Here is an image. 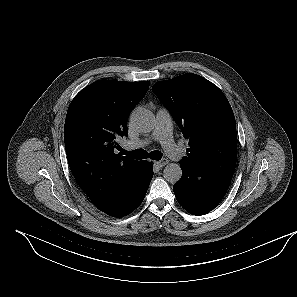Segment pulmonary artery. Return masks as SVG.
<instances>
[{"label": "pulmonary artery", "mask_w": 297, "mask_h": 297, "mask_svg": "<svg viewBox=\"0 0 297 297\" xmlns=\"http://www.w3.org/2000/svg\"><path fill=\"white\" fill-rule=\"evenodd\" d=\"M172 130L173 122L170 113L166 109L160 108L157 111L154 129L150 138L128 140L124 142V146L128 149L138 148L147 145L151 139H154L162 144L163 148L170 156L180 159L183 156V151L174 142Z\"/></svg>", "instance_id": "e3ab8cb5"}]
</instances>
